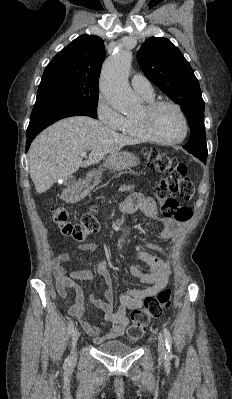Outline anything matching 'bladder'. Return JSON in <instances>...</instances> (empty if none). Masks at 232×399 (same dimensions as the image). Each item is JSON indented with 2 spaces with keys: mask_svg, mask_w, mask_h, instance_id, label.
I'll return each instance as SVG.
<instances>
[{
  "mask_svg": "<svg viewBox=\"0 0 232 399\" xmlns=\"http://www.w3.org/2000/svg\"><path fill=\"white\" fill-rule=\"evenodd\" d=\"M96 349L102 354L118 357L131 354L134 351L132 347L119 340L101 343Z\"/></svg>",
  "mask_w": 232,
  "mask_h": 399,
  "instance_id": "bladder-1",
  "label": "bladder"
}]
</instances>
